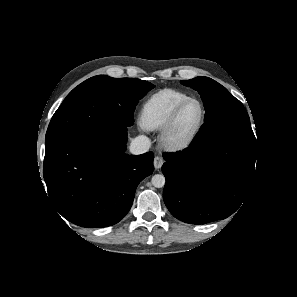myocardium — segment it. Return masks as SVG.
Wrapping results in <instances>:
<instances>
[{"instance_id":"myocardium-1","label":"myocardium","mask_w":297,"mask_h":297,"mask_svg":"<svg viewBox=\"0 0 297 297\" xmlns=\"http://www.w3.org/2000/svg\"><path fill=\"white\" fill-rule=\"evenodd\" d=\"M191 102H196L199 104L201 108V117L200 120L195 127V129L191 132L189 136H187L184 139H175L173 136L174 129L178 120V117L182 110L185 108L186 105H188ZM207 117V110L202 103L201 100L194 98V97H189L186 100L182 101L172 112L170 115L169 119L165 123V125L162 127L161 134H160V143L161 145L168 151L171 152H178L187 149L190 147L194 141L197 139L199 136L205 121Z\"/></svg>"}]
</instances>
